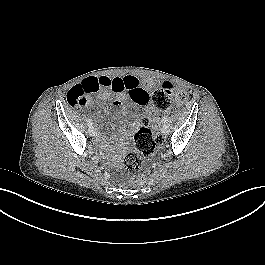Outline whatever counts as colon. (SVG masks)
Segmentation results:
<instances>
[{"instance_id": "obj_1", "label": "colon", "mask_w": 265, "mask_h": 265, "mask_svg": "<svg viewBox=\"0 0 265 265\" xmlns=\"http://www.w3.org/2000/svg\"><path fill=\"white\" fill-rule=\"evenodd\" d=\"M86 90L81 85L74 86L66 95L68 104L77 109L86 102V96L98 89L97 84L89 79L84 83ZM186 94L183 91L175 90L170 83H163L152 93V103L157 111H165L170 108L172 101L183 102ZM157 125L156 116L145 118V125L138 130L134 137L136 151H130L124 156V166L127 171L129 181L132 184H141L145 182V175L142 173V155L153 153L160 145L159 135L151 128Z\"/></svg>"}]
</instances>
